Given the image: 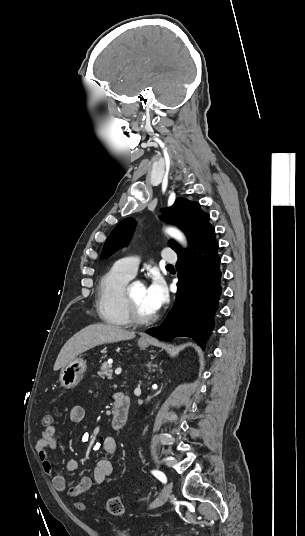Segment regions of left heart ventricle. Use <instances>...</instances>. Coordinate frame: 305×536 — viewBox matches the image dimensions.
Here are the masks:
<instances>
[{"label": "left heart ventricle", "mask_w": 305, "mask_h": 536, "mask_svg": "<svg viewBox=\"0 0 305 536\" xmlns=\"http://www.w3.org/2000/svg\"><path fill=\"white\" fill-rule=\"evenodd\" d=\"M129 294L132 303L142 314L148 315L153 313V311H151L147 306L145 300V287H143L141 284H136L129 288Z\"/></svg>", "instance_id": "1"}]
</instances>
